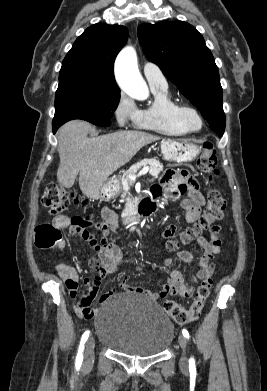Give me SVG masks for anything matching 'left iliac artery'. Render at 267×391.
Masks as SVG:
<instances>
[{"mask_svg":"<svg viewBox=\"0 0 267 391\" xmlns=\"http://www.w3.org/2000/svg\"><path fill=\"white\" fill-rule=\"evenodd\" d=\"M182 333H183V335H184L186 338H189V333H188L187 330L183 329ZM189 362H190V363H189V369H190V371H195V361H194V359L191 358Z\"/></svg>","mask_w":267,"mask_h":391,"instance_id":"obj_1","label":"left iliac artery"}]
</instances>
